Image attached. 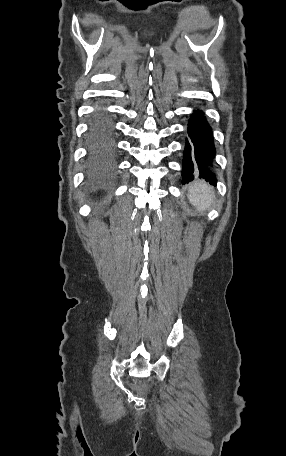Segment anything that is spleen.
I'll use <instances>...</instances> for the list:
<instances>
[{"label":"spleen","instance_id":"obj_1","mask_svg":"<svg viewBox=\"0 0 286 456\" xmlns=\"http://www.w3.org/2000/svg\"><path fill=\"white\" fill-rule=\"evenodd\" d=\"M214 199L212 187L204 181L195 182L189 188V201L201 213L212 207Z\"/></svg>","mask_w":286,"mask_h":456}]
</instances>
